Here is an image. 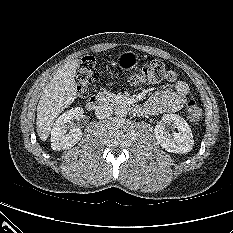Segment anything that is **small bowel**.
Returning <instances> with one entry per match:
<instances>
[{
  "label": "small bowel",
  "instance_id": "small-bowel-1",
  "mask_svg": "<svg viewBox=\"0 0 233 233\" xmlns=\"http://www.w3.org/2000/svg\"><path fill=\"white\" fill-rule=\"evenodd\" d=\"M188 93V84L184 81H177L174 89H164L152 94L142 106L144 113L161 114L177 112L185 105Z\"/></svg>",
  "mask_w": 233,
  "mask_h": 233
}]
</instances>
